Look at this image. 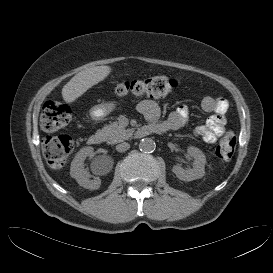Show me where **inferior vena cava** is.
<instances>
[{
	"mask_svg": "<svg viewBox=\"0 0 273 273\" xmlns=\"http://www.w3.org/2000/svg\"><path fill=\"white\" fill-rule=\"evenodd\" d=\"M130 148V144L127 142L120 143L116 146L118 152H125Z\"/></svg>",
	"mask_w": 273,
	"mask_h": 273,
	"instance_id": "602c4592",
	"label": "inferior vena cava"
}]
</instances>
